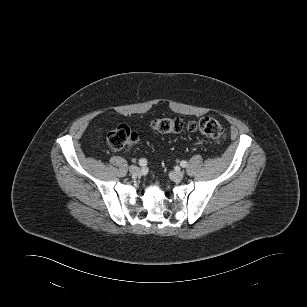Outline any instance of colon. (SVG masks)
Masks as SVG:
<instances>
[{
	"label": "colon",
	"instance_id": "5ec220e1",
	"mask_svg": "<svg viewBox=\"0 0 307 307\" xmlns=\"http://www.w3.org/2000/svg\"><path fill=\"white\" fill-rule=\"evenodd\" d=\"M152 128L162 134H177L185 129L199 133L216 142L225 139L222 125L214 118L203 117L187 124L179 118H159L152 122ZM138 141V134L127 125H119L107 135L108 145L115 150L129 149Z\"/></svg>",
	"mask_w": 307,
	"mask_h": 307
}]
</instances>
